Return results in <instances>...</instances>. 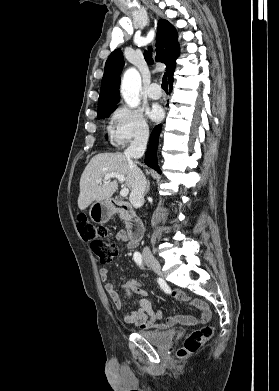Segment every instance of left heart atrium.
Instances as JSON below:
<instances>
[{
	"label": "left heart atrium",
	"mask_w": 279,
	"mask_h": 391,
	"mask_svg": "<svg viewBox=\"0 0 279 391\" xmlns=\"http://www.w3.org/2000/svg\"><path fill=\"white\" fill-rule=\"evenodd\" d=\"M163 111L162 108L159 105H153L149 110H148V115L149 117L157 121L162 117Z\"/></svg>",
	"instance_id": "obj_1"
}]
</instances>
